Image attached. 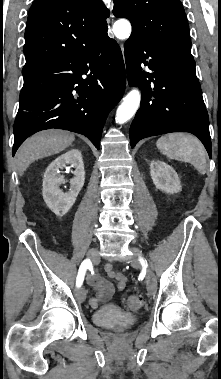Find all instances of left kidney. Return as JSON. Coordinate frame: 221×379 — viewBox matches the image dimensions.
I'll return each mask as SVG.
<instances>
[{"label": "left kidney", "instance_id": "obj_1", "mask_svg": "<svg viewBox=\"0 0 221 379\" xmlns=\"http://www.w3.org/2000/svg\"><path fill=\"white\" fill-rule=\"evenodd\" d=\"M150 174L157 189L170 194L181 191L178 174L165 162L160 160L151 161Z\"/></svg>", "mask_w": 221, "mask_h": 379}]
</instances>
